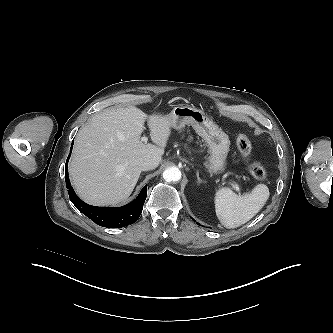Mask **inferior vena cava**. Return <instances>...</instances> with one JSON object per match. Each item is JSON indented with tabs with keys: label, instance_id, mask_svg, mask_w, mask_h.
I'll list each match as a JSON object with an SVG mask.
<instances>
[{
	"label": "inferior vena cava",
	"instance_id": "1",
	"mask_svg": "<svg viewBox=\"0 0 333 333\" xmlns=\"http://www.w3.org/2000/svg\"><path fill=\"white\" fill-rule=\"evenodd\" d=\"M160 161L161 159L159 157H148L141 161L140 166L143 171L152 170L159 165Z\"/></svg>",
	"mask_w": 333,
	"mask_h": 333
}]
</instances>
